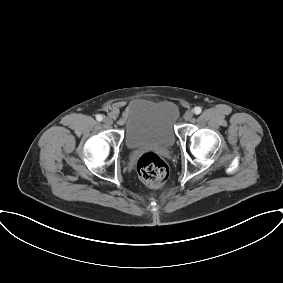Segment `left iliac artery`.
<instances>
[{
	"instance_id": "44dca946",
	"label": "left iliac artery",
	"mask_w": 283,
	"mask_h": 283,
	"mask_svg": "<svg viewBox=\"0 0 283 283\" xmlns=\"http://www.w3.org/2000/svg\"><path fill=\"white\" fill-rule=\"evenodd\" d=\"M201 111H202V109L200 107H195L194 108V113L197 114V115L200 114Z\"/></svg>"
}]
</instances>
